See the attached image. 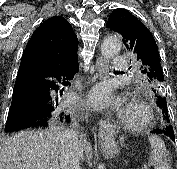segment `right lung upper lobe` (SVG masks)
I'll list each match as a JSON object with an SVG mask.
<instances>
[{"mask_svg": "<svg viewBox=\"0 0 177 169\" xmlns=\"http://www.w3.org/2000/svg\"><path fill=\"white\" fill-rule=\"evenodd\" d=\"M78 39L69 22L55 16L32 34L21 64L71 67L77 64Z\"/></svg>", "mask_w": 177, "mask_h": 169, "instance_id": "right-lung-upper-lobe-1", "label": "right lung upper lobe"}]
</instances>
